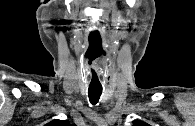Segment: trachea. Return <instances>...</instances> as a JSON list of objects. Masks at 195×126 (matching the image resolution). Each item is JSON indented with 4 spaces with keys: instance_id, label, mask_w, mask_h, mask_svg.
<instances>
[{
    "instance_id": "1",
    "label": "trachea",
    "mask_w": 195,
    "mask_h": 126,
    "mask_svg": "<svg viewBox=\"0 0 195 126\" xmlns=\"http://www.w3.org/2000/svg\"><path fill=\"white\" fill-rule=\"evenodd\" d=\"M101 94H102V88L90 86L88 89V97H89L90 103L92 105L97 104L100 99Z\"/></svg>"
}]
</instances>
